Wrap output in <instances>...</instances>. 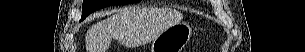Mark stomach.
<instances>
[{
    "label": "stomach",
    "mask_w": 305,
    "mask_h": 52,
    "mask_svg": "<svg viewBox=\"0 0 305 52\" xmlns=\"http://www.w3.org/2000/svg\"><path fill=\"white\" fill-rule=\"evenodd\" d=\"M192 28L187 23H177L161 32L151 43L150 52H182L190 41Z\"/></svg>",
    "instance_id": "0dacf381"
}]
</instances>
